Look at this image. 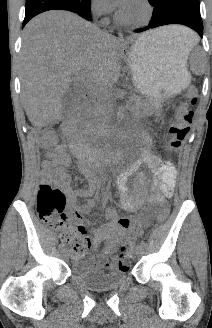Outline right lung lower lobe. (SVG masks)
Segmentation results:
<instances>
[{
  "label": "right lung lower lobe",
  "instance_id": "right-lung-lower-lobe-1",
  "mask_svg": "<svg viewBox=\"0 0 212 328\" xmlns=\"http://www.w3.org/2000/svg\"><path fill=\"white\" fill-rule=\"evenodd\" d=\"M48 10H67L91 21L90 0H26L22 27L34 16Z\"/></svg>",
  "mask_w": 212,
  "mask_h": 328
}]
</instances>
